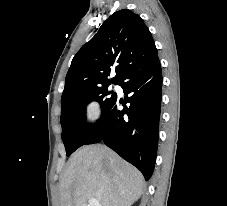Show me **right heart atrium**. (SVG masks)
I'll use <instances>...</instances> for the list:
<instances>
[{
	"mask_svg": "<svg viewBox=\"0 0 227 206\" xmlns=\"http://www.w3.org/2000/svg\"><path fill=\"white\" fill-rule=\"evenodd\" d=\"M101 115L100 105L96 101L88 102L84 107V118L87 124L96 123Z\"/></svg>",
	"mask_w": 227,
	"mask_h": 206,
	"instance_id": "d8ad5b80",
	"label": "right heart atrium"
}]
</instances>
